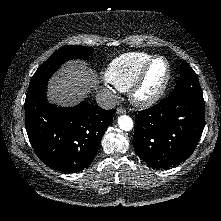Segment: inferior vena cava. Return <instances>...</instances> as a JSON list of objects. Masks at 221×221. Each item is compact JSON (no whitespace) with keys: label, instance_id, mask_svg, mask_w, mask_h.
<instances>
[{"label":"inferior vena cava","instance_id":"1","mask_svg":"<svg viewBox=\"0 0 221 221\" xmlns=\"http://www.w3.org/2000/svg\"><path fill=\"white\" fill-rule=\"evenodd\" d=\"M96 102L102 109H113L117 104V96L111 90L103 88L98 91Z\"/></svg>","mask_w":221,"mask_h":221}]
</instances>
